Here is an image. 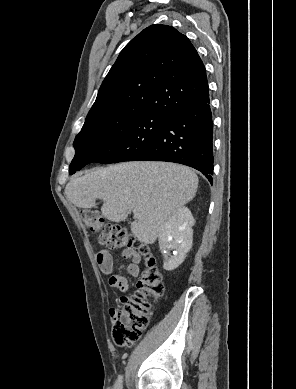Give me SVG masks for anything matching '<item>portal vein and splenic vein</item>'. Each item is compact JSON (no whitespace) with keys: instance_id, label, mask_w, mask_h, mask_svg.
Instances as JSON below:
<instances>
[{"instance_id":"portal-vein-and-splenic-vein-1","label":"portal vein and splenic vein","mask_w":296,"mask_h":389,"mask_svg":"<svg viewBox=\"0 0 296 389\" xmlns=\"http://www.w3.org/2000/svg\"><path fill=\"white\" fill-rule=\"evenodd\" d=\"M133 213L136 214V210H133Z\"/></svg>"}]
</instances>
